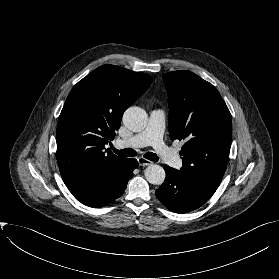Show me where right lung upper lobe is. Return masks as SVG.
Masks as SVG:
<instances>
[{"label": "right lung upper lobe", "instance_id": "cb5924a9", "mask_svg": "<svg viewBox=\"0 0 279 279\" xmlns=\"http://www.w3.org/2000/svg\"><path fill=\"white\" fill-rule=\"evenodd\" d=\"M152 77L102 65L71 90L58 119L57 160L75 197L90 193L122 169L127 158L105 153L124 111L150 86Z\"/></svg>", "mask_w": 279, "mask_h": 279}]
</instances>
